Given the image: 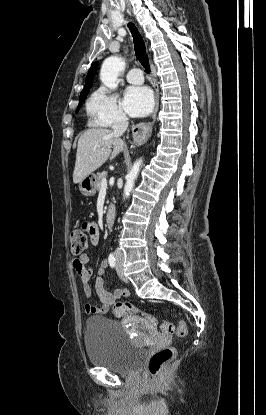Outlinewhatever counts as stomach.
<instances>
[{"label": "stomach", "mask_w": 266, "mask_h": 415, "mask_svg": "<svg viewBox=\"0 0 266 415\" xmlns=\"http://www.w3.org/2000/svg\"><path fill=\"white\" fill-rule=\"evenodd\" d=\"M96 179L94 174H90L82 179L79 183V189L82 195L90 197L96 193Z\"/></svg>", "instance_id": "1"}]
</instances>
